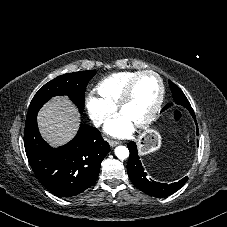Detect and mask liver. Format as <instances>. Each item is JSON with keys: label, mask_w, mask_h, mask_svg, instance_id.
Masks as SVG:
<instances>
[{"label": "liver", "mask_w": 227, "mask_h": 227, "mask_svg": "<svg viewBox=\"0 0 227 227\" xmlns=\"http://www.w3.org/2000/svg\"><path fill=\"white\" fill-rule=\"evenodd\" d=\"M77 108L66 97H55L38 113V124L44 139L52 146L70 141L79 127Z\"/></svg>", "instance_id": "obj_1"}]
</instances>
